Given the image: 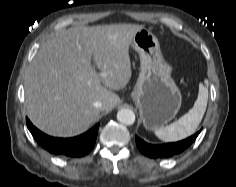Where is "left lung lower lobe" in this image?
Segmentation results:
<instances>
[{
	"label": "left lung lower lobe",
	"instance_id": "1",
	"mask_svg": "<svg viewBox=\"0 0 236 187\" xmlns=\"http://www.w3.org/2000/svg\"><path fill=\"white\" fill-rule=\"evenodd\" d=\"M199 133L200 131L193 136L176 143H167L162 145L148 144L136 136V145L142 154L150 158H169L180 154L187 149L195 141Z\"/></svg>",
	"mask_w": 236,
	"mask_h": 187
}]
</instances>
